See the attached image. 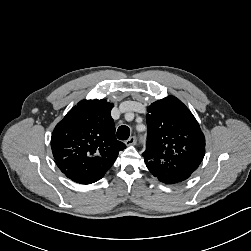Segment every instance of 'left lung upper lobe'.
Masks as SVG:
<instances>
[{
  "instance_id": "5c2ea615",
  "label": "left lung upper lobe",
  "mask_w": 251,
  "mask_h": 251,
  "mask_svg": "<svg viewBox=\"0 0 251 251\" xmlns=\"http://www.w3.org/2000/svg\"><path fill=\"white\" fill-rule=\"evenodd\" d=\"M146 120L148 134L144 153L175 165L194 163L199 166L205 154V137L180 100L171 96L152 103Z\"/></svg>"
}]
</instances>
